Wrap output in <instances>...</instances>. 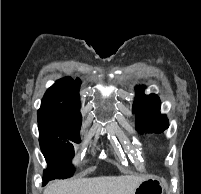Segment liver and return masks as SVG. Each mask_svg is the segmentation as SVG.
<instances>
[{
	"mask_svg": "<svg viewBox=\"0 0 201 194\" xmlns=\"http://www.w3.org/2000/svg\"><path fill=\"white\" fill-rule=\"evenodd\" d=\"M143 179L121 175L57 180L49 184L43 194H134Z\"/></svg>",
	"mask_w": 201,
	"mask_h": 194,
	"instance_id": "liver-1",
	"label": "liver"
}]
</instances>
